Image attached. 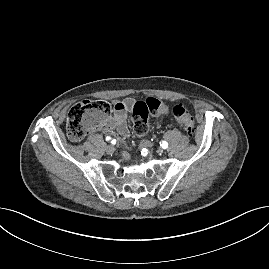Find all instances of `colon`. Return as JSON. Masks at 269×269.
<instances>
[{"instance_id": "obj_1", "label": "colon", "mask_w": 269, "mask_h": 269, "mask_svg": "<svg viewBox=\"0 0 269 269\" xmlns=\"http://www.w3.org/2000/svg\"><path fill=\"white\" fill-rule=\"evenodd\" d=\"M168 112V108L155 98L138 101L133 106V128L137 135L142 136L148 131L150 115ZM110 113V106L101 100H84L73 105L67 116L66 130L68 137L73 141L83 139L91 130L100 127ZM171 113L179 126L188 134L194 132L192 114L183 106L175 105Z\"/></svg>"}]
</instances>
